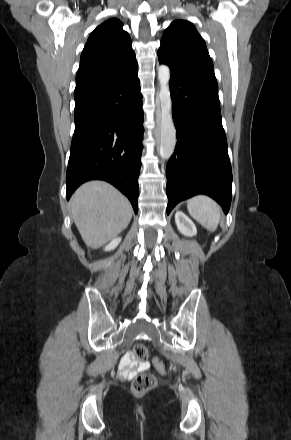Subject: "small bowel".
Wrapping results in <instances>:
<instances>
[{"label":"small bowel","instance_id":"small-bowel-1","mask_svg":"<svg viewBox=\"0 0 291 440\" xmlns=\"http://www.w3.org/2000/svg\"><path fill=\"white\" fill-rule=\"evenodd\" d=\"M150 367V363L147 361H140L135 356L128 352L126 353L119 364V371L122 377H132L135 374L145 371Z\"/></svg>","mask_w":291,"mask_h":440}]
</instances>
